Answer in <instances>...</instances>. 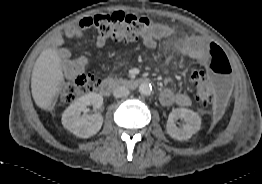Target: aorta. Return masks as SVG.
Listing matches in <instances>:
<instances>
[{
	"label": "aorta",
	"instance_id": "obj_1",
	"mask_svg": "<svg viewBox=\"0 0 262 184\" xmlns=\"http://www.w3.org/2000/svg\"><path fill=\"white\" fill-rule=\"evenodd\" d=\"M139 92L142 95H149L152 91V86L149 83H141L139 86Z\"/></svg>",
	"mask_w": 262,
	"mask_h": 184
}]
</instances>
